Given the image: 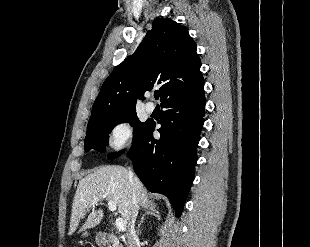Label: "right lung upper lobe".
<instances>
[{"label": "right lung upper lobe", "mask_w": 310, "mask_h": 247, "mask_svg": "<svg viewBox=\"0 0 310 247\" xmlns=\"http://www.w3.org/2000/svg\"><path fill=\"white\" fill-rule=\"evenodd\" d=\"M200 67L196 43L188 30L170 18L156 19L136 51L103 83L89 123L136 110L137 100L156 85H161V103L194 88L203 81Z\"/></svg>", "instance_id": "1"}]
</instances>
